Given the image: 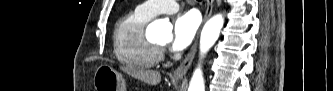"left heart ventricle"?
<instances>
[{
    "label": "left heart ventricle",
    "mask_w": 333,
    "mask_h": 91,
    "mask_svg": "<svg viewBox=\"0 0 333 91\" xmlns=\"http://www.w3.org/2000/svg\"><path fill=\"white\" fill-rule=\"evenodd\" d=\"M159 44H160V45H164V44H165V42H159Z\"/></svg>",
    "instance_id": "left-heart-ventricle-1"
}]
</instances>
